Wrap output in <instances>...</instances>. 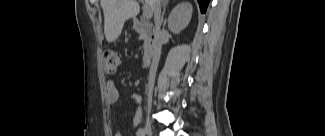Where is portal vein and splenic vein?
<instances>
[{
	"label": "portal vein and splenic vein",
	"instance_id": "18ae733b",
	"mask_svg": "<svg viewBox=\"0 0 325 136\" xmlns=\"http://www.w3.org/2000/svg\"><path fill=\"white\" fill-rule=\"evenodd\" d=\"M143 16L146 19H150L152 17V12H151L150 8H148V6H145L143 8Z\"/></svg>",
	"mask_w": 325,
	"mask_h": 136
}]
</instances>
